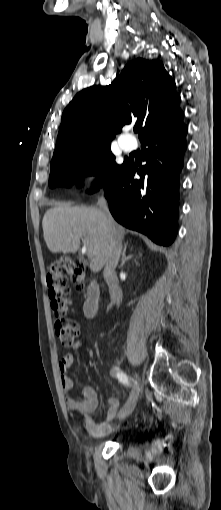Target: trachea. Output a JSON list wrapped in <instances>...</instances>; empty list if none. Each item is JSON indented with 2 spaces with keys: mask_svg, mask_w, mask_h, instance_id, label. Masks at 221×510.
<instances>
[{
  "mask_svg": "<svg viewBox=\"0 0 221 510\" xmlns=\"http://www.w3.org/2000/svg\"><path fill=\"white\" fill-rule=\"evenodd\" d=\"M139 131V128L135 127L134 132L137 133Z\"/></svg>",
  "mask_w": 221,
  "mask_h": 510,
  "instance_id": "3493384b",
  "label": "trachea"
}]
</instances>
